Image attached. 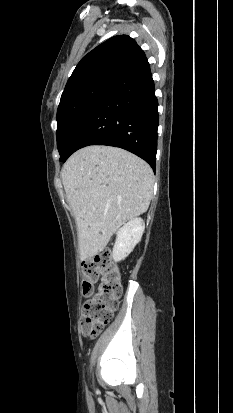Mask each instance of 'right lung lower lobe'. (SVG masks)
<instances>
[{"mask_svg":"<svg viewBox=\"0 0 233 413\" xmlns=\"http://www.w3.org/2000/svg\"><path fill=\"white\" fill-rule=\"evenodd\" d=\"M158 101L147 58L116 78L78 132L69 152L88 145L128 150L155 170Z\"/></svg>","mask_w":233,"mask_h":413,"instance_id":"obj_1","label":"right lung lower lobe"}]
</instances>
